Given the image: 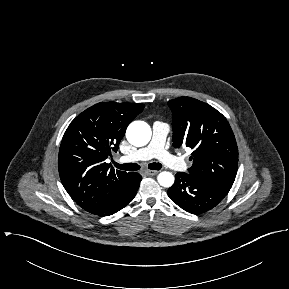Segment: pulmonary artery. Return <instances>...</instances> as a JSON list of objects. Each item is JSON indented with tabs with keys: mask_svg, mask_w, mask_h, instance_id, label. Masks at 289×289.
Returning a JSON list of instances; mask_svg holds the SVG:
<instances>
[{
	"mask_svg": "<svg viewBox=\"0 0 289 289\" xmlns=\"http://www.w3.org/2000/svg\"><path fill=\"white\" fill-rule=\"evenodd\" d=\"M169 133V126L166 123L156 121L153 124V133L150 143L135 151L129 156L122 157V161H141L152 158L159 159L166 166L181 170L185 168V163L178 157L171 155L164 148L167 135Z\"/></svg>",
	"mask_w": 289,
	"mask_h": 289,
	"instance_id": "pulmonary-artery-1",
	"label": "pulmonary artery"
}]
</instances>
